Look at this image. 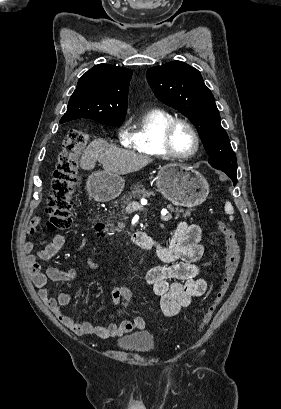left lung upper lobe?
<instances>
[{"mask_svg": "<svg viewBox=\"0 0 281 409\" xmlns=\"http://www.w3.org/2000/svg\"><path fill=\"white\" fill-rule=\"evenodd\" d=\"M147 80L160 101L177 109L196 126L212 167L237 168L215 99L197 69L172 61L149 68Z\"/></svg>", "mask_w": 281, "mask_h": 409, "instance_id": "5c2ea615", "label": "left lung upper lobe"}]
</instances>
